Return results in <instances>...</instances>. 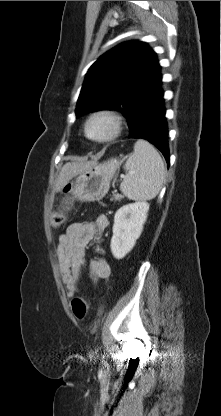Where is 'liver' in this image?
<instances>
[{
    "mask_svg": "<svg viewBox=\"0 0 221 416\" xmlns=\"http://www.w3.org/2000/svg\"><path fill=\"white\" fill-rule=\"evenodd\" d=\"M94 165H96L95 161L67 162L59 173L54 190L56 192L61 191L74 176L88 170Z\"/></svg>",
    "mask_w": 221,
    "mask_h": 416,
    "instance_id": "1",
    "label": "liver"
}]
</instances>
